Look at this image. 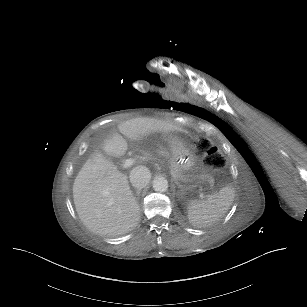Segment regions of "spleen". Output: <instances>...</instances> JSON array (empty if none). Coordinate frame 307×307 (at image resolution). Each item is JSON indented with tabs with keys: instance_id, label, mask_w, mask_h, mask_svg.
Returning <instances> with one entry per match:
<instances>
[{
	"instance_id": "3e777b00",
	"label": "spleen",
	"mask_w": 307,
	"mask_h": 307,
	"mask_svg": "<svg viewBox=\"0 0 307 307\" xmlns=\"http://www.w3.org/2000/svg\"><path fill=\"white\" fill-rule=\"evenodd\" d=\"M233 200L232 187H223L210 199L195 201L189 208V219L198 227L211 226L226 214Z\"/></svg>"
}]
</instances>
